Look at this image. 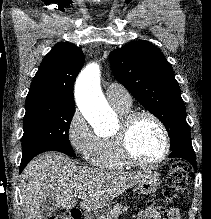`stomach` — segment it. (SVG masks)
<instances>
[{
    "label": "stomach",
    "mask_w": 211,
    "mask_h": 219,
    "mask_svg": "<svg viewBox=\"0 0 211 219\" xmlns=\"http://www.w3.org/2000/svg\"><path fill=\"white\" fill-rule=\"evenodd\" d=\"M160 175L157 172L149 171L148 174L138 182L137 189L141 194L147 195L154 193L161 184ZM111 210V206L107 204L96 210H92L90 214L95 215L98 219L107 215Z\"/></svg>",
    "instance_id": "0dacf381"
}]
</instances>
